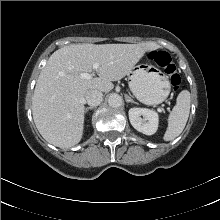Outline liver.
Returning a JSON list of instances; mask_svg holds the SVG:
<instances>
[{
	"label": "liver",
	"mask_w": 220,
	"mask_h": 220,
	"mask_svg": "<svg viewBox=\"0 0 220 220\" xmlns=\"http://www.w3.org/2000/svg\"><path fill=\"white\" fill-rule=\"evenodd\" d=\"M160 46L138 44H71L55 51L42 69L32 97V115L42 137L60 148L78 144L84 130V103L88 90L109 92L112 81L130 74L146 52ZM99 77L82 79L94 63Z\"/></svg>",
	"instance_id": "6515ba94"
}]
</instances>
